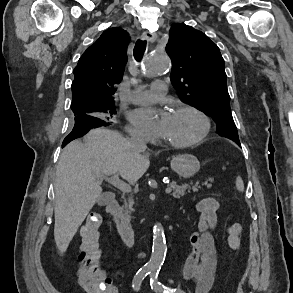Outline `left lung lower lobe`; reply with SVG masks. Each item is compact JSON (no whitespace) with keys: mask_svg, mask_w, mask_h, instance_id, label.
Instances as JSON below:
<instances>
[{"mask_svg":"<svg viewBox=\"0 0 293 293\" xmlns=\"http://www.w3.org/2000/svg\"><path fill=\"white\" fill-rule=\"evenodd\" d=\"M237 144H238L239 146H241V145H240V142H239V143H237Z\"/></svg>","mask_w":293,"mask_h":293,"instance_id":"left-lung-lower-lobe-1","label":"left lung lower lobe"}]
</instances>
